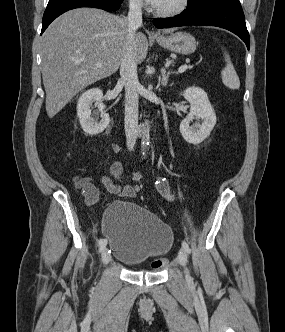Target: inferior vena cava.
<instances>
[{
	"label": "inferior vena cava",
	"mask_w": 285,
	"mask_h": 332,
	"mask_svg": "<svg viewBox=\"0 0 285 332\" xmlns=\"http://www.w3.org/2000/svg\"><path fill=\"white\" fill-rule=\"evenodd\" d=\"M142 24V0H130L127 17L128 48L120 63V76L125 86V134L127 147L133 150L137 139L138 88L137 63L133 42L137 28Z\"/></svg>",
	"instance_id": "inferior-vena-cava-1"
}]
</instances>
